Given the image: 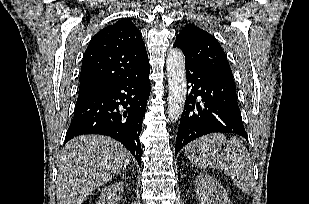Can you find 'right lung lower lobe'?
I'll return each mask as SVG.
<instances>
[{
  "label": "right lung lower lobe",
  "instance_id": "obj_1",
  "mask_svg": "<svg viewBox=\"0 0 309 204\" xmlns=\"http://www.w3.org/2000/svg\"><path fill=\"white\" fill-rule=\"evenodd\" d=\"M149 69L78 98L65 143L83 134L107 135L121 142L140 165L142 151L139 135L150 95Z\"/></svg>",
  "mask_w": 309,
  "mask_h": 204
}]
</instances>
